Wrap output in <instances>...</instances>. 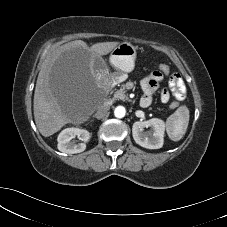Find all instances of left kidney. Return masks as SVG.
Listing matches in <instances>:
<instances>
[{
    "label": "left kidney",
    "instance_id": "left-kidney-1",
    "mask_svg": "<svg viewBox=\"0 0 227 227\" xmlns=\"http://www.w3.org/2000/svg\"><path fill=\"white\" fill-rule=\"evenodd\" d=\"M151 131L144 132V128ZM165 124L161 119L152 118L147 121H136L132 126V135L135 142L147 149H159L164 142Z\"/></svg>",
    "mask_w": 227,
    "mask_h": 227
}]
</instances>
